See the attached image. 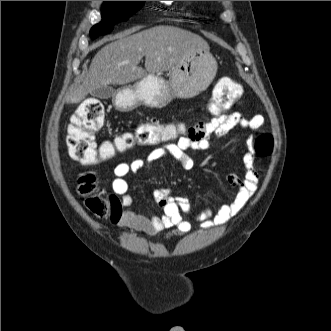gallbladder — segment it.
<instances>
[{
    "instance_id": "1",
    "label": "gallbladder",
    "mask_w": 331,
    "mask_h": 331,
    "mask_svg": "<svg viewBox=\"0 0 331 331\" xmlns=\"http://www.w3.org/2000/svg\"><path fill=\"white\" fill-rule=\"evenodd\" d=\"M114 94V89L111 86H104L95 89L91 95L98 99H109Z\"/></svg>"
}]
</instances>
